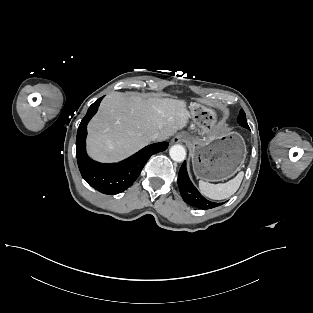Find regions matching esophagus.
<instances>
[{
  "label": "esophagus",
  "instance_id": "obj_1",
  "mask_svg": "<svg viewBox=\"0 0 313 313\" xmlns=\"http://www.w3.org/2000/svg\"><path fill=\"white\" fill-rule=\"evenodd\" d=\"M181 141H182L181 136H176L172 139V143H179Z\"/></svg>",
  "mask_w": 313,
  "mask_h": 313
}]
</instances>
